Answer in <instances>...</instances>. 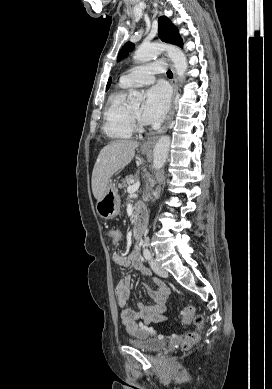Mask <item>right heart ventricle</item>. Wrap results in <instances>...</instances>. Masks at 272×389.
<instances>
[{
	"label": "right heart ventricle",
	"mask_w": 272,
	"mask_h": 389,
	"mask_svg": "<svg viewBox=\"0 0 272 389\" xmlns=\"http://www.w3.org/2000/svg\"><path fill=\"white\" fill-rule=\"evenodd\" d=\"M128 88L120 83L119 87L109 96L104 111V133L114 140L129 139L134 133L129 117V107L126 103Z\"/></svg>",
	"instance_id": "obj_1"
}]
</instances>
